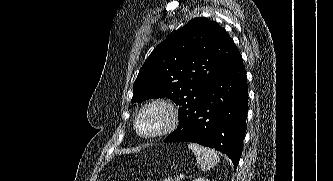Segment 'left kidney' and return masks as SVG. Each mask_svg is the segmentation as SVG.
Here are the masks:
<instances>
[{
	"mask_svg": "<svg viewBox=\"0 0 333 181\" xmlns=\"http://www.w3.org/2000/svg\"><path fill=\"white\" fill-rule=\"evenodd\" d=\"M193 181H209L208 179H206L205 177H198L196 179H194Z\"/></svg>",
	"mask_w": 333,
	"mask_h": 181,
	"instance_id": "left-kidney-1",
	"label": "left kidney"
}]
</instances>
